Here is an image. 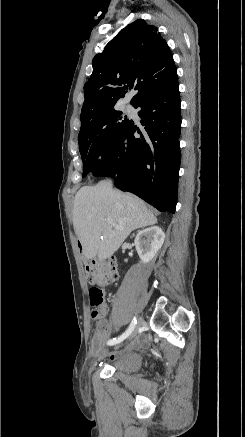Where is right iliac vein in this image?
<instances>
[{"mask_svg":"<svg viewBox=\"0 0 245 437\" xmlns=\"http://www.w3.org/2000/svg\"><path fill=\"white\" fill-rule=\"evenodd\" d=\"M143 324V319L142 318H139V320H138V322H137V324H136V329H135V331H134V334H136V332H137V330L140 328V326ZM116 347H118V346H116Z\"/></svg>","mask_w":245,"mask_h":437,"instance_id":"obj_1","label":"right iliac vein"}]
</instances>
